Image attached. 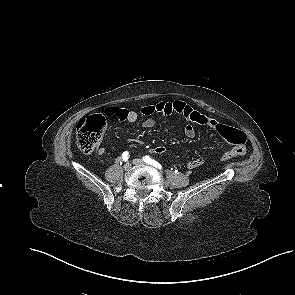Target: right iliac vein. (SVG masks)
I'll return each mask as SVG.
<instances>
[{
    "label": "right iliac vein",
    "instance_id": "1",
    "mask_svg": "<svg viewBox=\"0 0 295 295\" xmlns=\"http://www.w3.org/2000/svg\"><path fill=\"white\" fill-rule=\"evenodd\" d=\"M131 169V164L130 163H126L125 165H124V170L125 171H129Z\"/></svg>",
    "mask_w": 295,
    "mask_h": 295
}]
</instances>
